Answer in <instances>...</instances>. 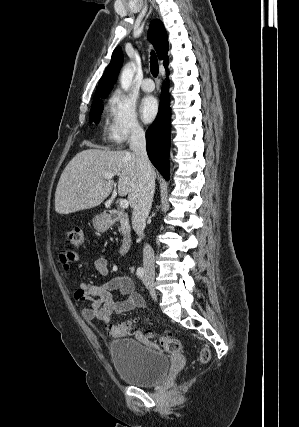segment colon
Returning a JSON list of instances; mask_svg holds the SVG:
<instances>
[{
  "instance_id": "obj_1",
  "label": "colon",
  "mask_w": 299,
  "mask_h": 427,
  "mask_svg": "<svg viewBox=\"0 0 299 427\" xmlns=\"http://www.w3.org/2000/svg\"><path fill=\"white\" fill-rule=\"evenodd\" d=\"M65 241L67 244L73 247H78L83 242V231L79 226L69 229L65 234ZM138 331L133 325V321L125 319L117 324L110 327V333L114 336H126L130 334H136ZM144 336L148 338H154V334L151 330H146ZM160 346L168 353L176 354L182 350V343L179 339L173 337H159L157 338ZM210 359V351L207 348H203L200 353V362L206 363Z\"/></svg>"
}]
</instances>
